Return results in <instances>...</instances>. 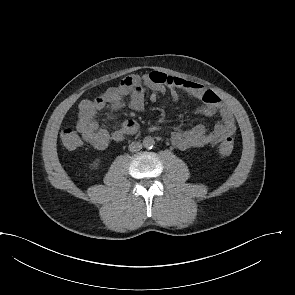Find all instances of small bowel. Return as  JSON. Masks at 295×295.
<instances>
[{
  "label": "small bowel",
  "instance_id": "small-bowel-1",
  "mask_svg": "<svg viewBox=\"0 0 295 295\" xmlns=\"http://www.w3.org/2000/svg\"><path fill=\"white\" fill-rule=\"evenodd\" d=\"M166 89L170 91L173 101L178 100V91L182 90L201 102L197 109L200 114L220 116L219 122L212 130H208L204 124H198L185 131L173 132L171 142L179 150L215 145L235 133L233 114L214 91L198 83L162 72L127 76L119 85L109 87L94 99L82 100L78 106L76 128L86 143L98 150L105 149L111 142H120L126 136L136 133L138 124L133 119H126L120 122L115 130L109 132L99 126L95 119L97 112L104 108L120 110L126 105L127 97L128 106L132 110L142 111L147 90H150V100L155 102L158 95L164 93Z\"/></svg>",
  "mask_w": 295,
  "mask_h": 295
}]
</instances>
